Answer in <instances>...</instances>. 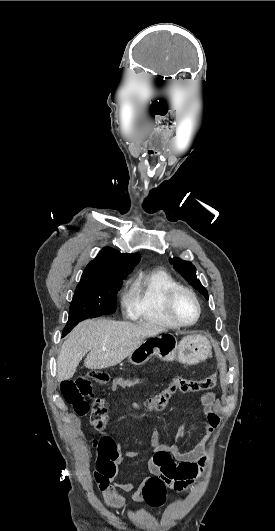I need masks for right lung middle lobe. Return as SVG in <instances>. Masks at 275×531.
Returning a JSON list of instances; mask_svg holds the SVG:
<instances>
[{"label": "right lung middle lobe", "mask_w": 275, "mask_h": 531, "mask_svg": "<svg viewBox=\"0 0 275 531\" xmlns=\"http://www.w3.org/2000/svg\"><path fill=\"white\" fill-rule=\"evenodd\" d=\"M122 279L80 281L70 305L69 318L63 330V336L84 319L114 313L117 291L121 288Z\"/></svg>", "instance_id": "right-lung-middle-lobe-1"}]
</instances>
